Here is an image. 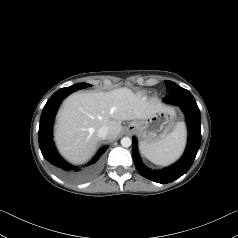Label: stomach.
I'll return each mask as SVG.
<instances>
[{
    "label": "stomach",
    "instance_id": "0dacf381",
    "mask_svg": "<svg viewBox=\"0 0 238 238\" xmlns=\"http://www.w3.org/2000/svg\"><path fill=\"white\" fill-rule=\"evenodd\" d=\"M176 126V113L163 108L144 119L134 120L129 128L139 137L140 145L147 146L164 139Z\"/></svg>",
    "mask_w": 238,
    "mask_h": 238
}]
</instances>
